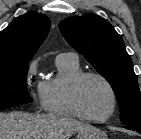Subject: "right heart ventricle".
<instances>
[{"label":"right heart ventricle","mask_w":141,"mask_h":139,"mask_svg":"<svg viewBox=\"0 0 141 139\" xmlns=\"http://www.w3.org/2000/svg\"><path fill=\"white\" fill-rule=\"evenodd\" d=\"M57 75L41 83L43 108L55 115L77 117L68 98V89L71 81L83 69L78 59L56 60Z\"/></svg>","instance_id":"1"}]
</instances>
